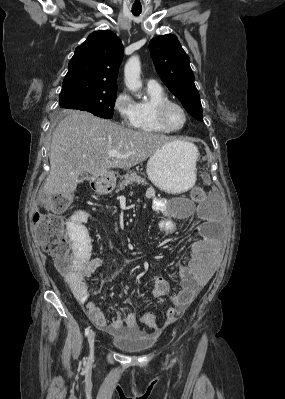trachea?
Segmentation results:
<instances>
[{
  "instance_id": "obj_1",
  "label": "trachea",
  "mask_w": 285,
  "mask_h": 399,
  "mask_svg": "<svg viewBox=\"0 0 285 399\" xmlns=\"http://www.w3.org/2000/svg\"><path fill=\"white\" fill-rule=\"evenodd\" d=\"M140 13H141V10H132V14H133L134 16H139Z\"/></svg>"
}]
</instances>
